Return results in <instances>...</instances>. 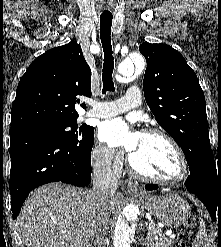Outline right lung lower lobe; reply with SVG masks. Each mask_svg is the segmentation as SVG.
Listing matches in <instances>:
<instances>
[{"label":"right lung lower lobe","instance_id":"right-lung-lower-lobe-1","mask_svg":"<svg viewBox=\"0 0 221 247\" xmlns=\"http://www.w3.org/2000/svg\"><path fill=\"white\" fill-rule=\"evenodd\" d=\"M91 150L82 151L42 132L10 130L9 187L13 218L19 215L29 192L40 185L50 182L88 185Z\"/></svg>","mask_w":221,"mask_h":247}]
</instances>
